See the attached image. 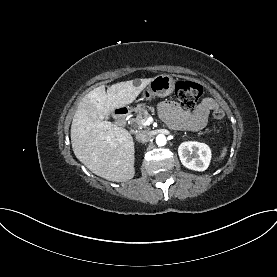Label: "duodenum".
Segmentation results:
<instances>
[{
	"label": "duodenum",
	"mask_w": 277,
	"mask_h": 277,
	"mask_svg": "<svg viewBox=\"0 0 277 277\" xmlns=\"http://www.w3.org/2000/svg\"><path fill=\"white\" fill-rule=\"evenodd\" d=\"M128 117V109L125 107L116 108L114 110V118L119 126H123L126 123Z\"/></svg>",
	"instance_id": "410a0bca"
}]
</instances>
